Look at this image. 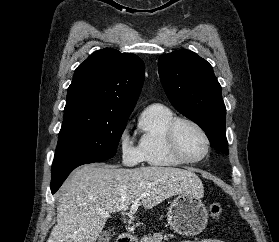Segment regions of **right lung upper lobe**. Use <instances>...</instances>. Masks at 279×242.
<instances>
[{
    "label": "right lung upper lobe",
    "instance_id": "obj_1",
    "mask_svg": "<svg viewBox=\"0 0 279 242\" xmlns=\"http://www.w3.org/2000/svg\"><path fill=\"white\" fill-rule=\"evenodd\" d=\"M144 62L135 54L105 48L76 68L64 114L99 118L129 117L142 89Z\"/></svg>",
    "mask_w": 279,
    "mask_h": 242
}]
</instances>
